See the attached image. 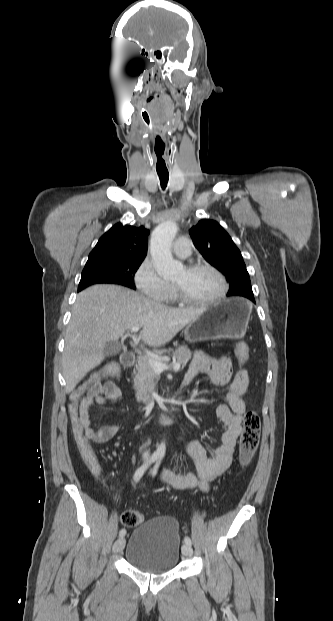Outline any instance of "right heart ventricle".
<instances>
[{
	"instance_id": "obj_1",
	"label": "right heart ventricle",
	"mask_w": 333,
	"mask_h": 621,
	"mask_svg": "<svg viewBox=\"0 0 333 621\" xmlns=\"http://www.w3.org/2000/svg\"><path fill=\"white\" fill-rule=\"evenodd\" d=\"M177 299L174 295L173 289L171 288L170 293L168 294L167 298H166V302H175Z\"/></svg>"
}]
</instances>
